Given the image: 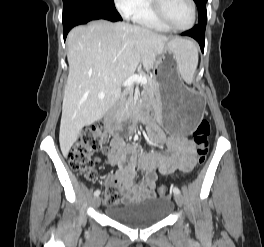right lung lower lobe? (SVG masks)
<instances>
[{
    "label": "right lung lower lobe",
    "mask_w": 264,
    "mask_h": 247,
    "mask_svg": "<svg viewBox=\"0 0 264 247\" xmlns=\"http://www.w3.org/2000/svg\"><path fill=\"white\" fill-rule=\"evenodd\" d=\"M97 19H105L112 22L122 20L115 7H99L81 2L65 3L63 9L64 40L74 26Z\"/></svg>",
    "instance_id": "1"
}]
</instances>
